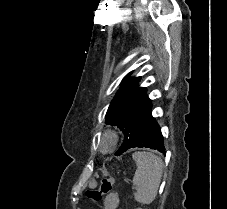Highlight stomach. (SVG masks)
<instances>
[{"instance_id":"obj_1","label":"stomach","mask_w":227,"mask_h":209,"mask_svg":"<svg viewBox=\"0 0 227 209\" xmlns=\"http://www.w3.org/2000/svg\"><path fill=\"white\" fill-rule=\"evenodd\" d=\"M118 204L119 197L117 193H111L105 199V209H116Z\"/></svg>"}]
</instances>
